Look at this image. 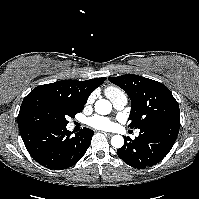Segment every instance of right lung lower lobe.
Masks as SVG:
<instances>
[{
  "label": "right lung lower lobe",
  "instance_id": "1",
  "mask_svg": "<svg viewBox=\"0 0 199 199\" xmlns=\"http://www.w3.org/2000/svg\"><path fill=\"white\" fill-rule=\"evenodd\" d=\"M26 149L40 165L54 170L73 166L86 153L94 131L83 128L72 135L66 126L19 128Z\"/></svg>",
  "mask_w": 199,
  "mask_h": 199
}]
</instances>
